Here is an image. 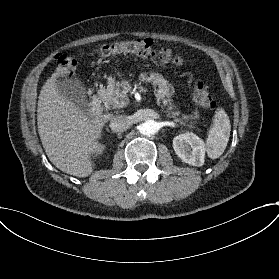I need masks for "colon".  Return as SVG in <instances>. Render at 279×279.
<instances>
[{"mask_svg": "<svg viewBox=\"0 0 279 279\" xmlns=\"http://www.w3.org/2000/svg\"><path fill=\"white\" fill-rule=\"evenodd\" d=\"M122 55L155 57L162 62H168L174 65H183L185 63L181 55L174 53L165 46H157L153 41L147 39L118 41L105 44L99 53L102 59ZM57 59L58 67L65 74H69L75 69L76 63L73 59L65 55H59ZM194 98L203 109L211 110L215 106L210 90L203 82H197L195 84Z\"/></svg>", "mask_w": 279, "mask_h": 279, "instance_id": "5ec220e1", "label": "colon"}]
</instances>
